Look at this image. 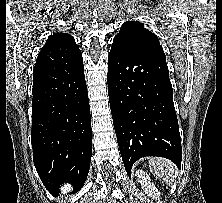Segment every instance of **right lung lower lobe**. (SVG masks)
Wrapping results in <instances>:
<instances>
[{
    "label": "right lung lower lobe",
    "instance_id": "1",
    "mask_svg": "<svg viewBox=\"0 0 222 203\" xmlns=\"http://www.w3.org/2000/svg\"><path fill=\"white\" fill-rule=\"evenodd\" d=\"M33 159L46 189H80L91 162V119L83 62L33 71Z\"/></svg>",
    "mask_w": 222,
    "mask_h": 203
}]
</instances>
